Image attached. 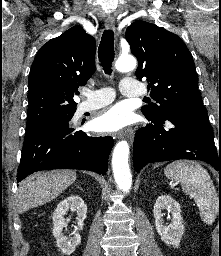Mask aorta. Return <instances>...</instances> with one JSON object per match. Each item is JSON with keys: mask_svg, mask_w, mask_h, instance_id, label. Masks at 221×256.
<instances>
[{"mask_svg": "<svg viewBox=\"0 0 221 256\" xmlns=\"http://www.w3.org/2000/svg\"><path fill=\"white\" fill-rule=\"evenodd\" d=\"M136 60L132 56L120 57L115 63V68L120 72H127L135 69ZM129 144L127 141H120L116 144L112 155V168L115 182L119 189L128 192L132 185V175L128 163Z\"/></svg>", "mask_w": 221, "mask_h": 256, "instance_id": "obj_1", "label": "aorta"}]
</instances>
